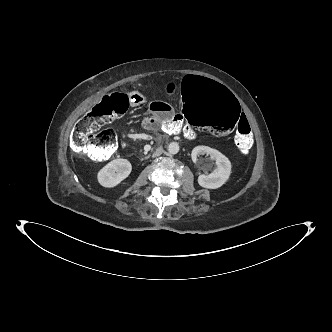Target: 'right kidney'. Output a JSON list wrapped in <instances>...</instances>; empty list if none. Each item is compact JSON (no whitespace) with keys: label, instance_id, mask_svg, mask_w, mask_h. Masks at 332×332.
Masks as SVG:
<instances>
[{"label":"right kidney","instance_id":"ca27d5eb","mask_svg":"<svg viewBox=\"0 0 332 332\" xmlns=\"http://www.w3.org/2000/svg\"><path fill=\"white\" fill-rule=\"evenodd\" d=\"M131 171L132 165L127 159L117 158L99 170L97 180L101 186L112 188L126 179Z\"/></svg>","mask_w":332,"mask_h":332}]
</instances>
